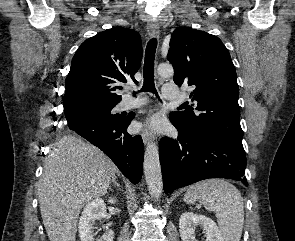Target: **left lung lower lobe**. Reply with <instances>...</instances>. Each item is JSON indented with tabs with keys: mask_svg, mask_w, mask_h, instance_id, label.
<instances>
[{
	"mask_svg": "<svg viewBox=\"0 0 295 241\" xmlns=\"http://www.w3.org/2000/svg\"><path fill=\"white\" fill-rule=\"evenodd\" d=\"M177 139L163 138L159 157L165 193L209 178H229L248 186L244 176L246 155L242 142L212 133L185 134Z\"/></svg>",
	"mask_w": 295,
	"mask_h": 241,
	"instance_id": "obj_1",
	"label": "left lung lower lobe"
}]
</instances>
